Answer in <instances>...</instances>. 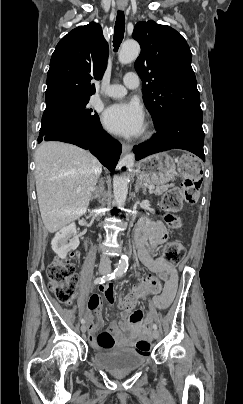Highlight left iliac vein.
<instances>
[{
	"label": "left iliac vein",
	"instance_id": "obj_1",
	"mask_svg": "<svg viewBox=\"0 0 243 404\" xmlns=\"http://www.w3.org/2000/svg\"><path fill=\"white\" fill-rule=\"evenodd\" d=\"M152 336H153L154 339H158L159 338V332L157 330H153Z\"/></svg>",
	"mask_w": 243,
	"mask_h": 404
}]
</instances>
